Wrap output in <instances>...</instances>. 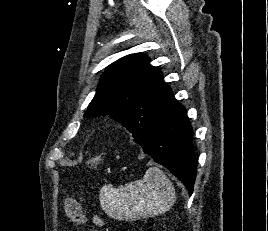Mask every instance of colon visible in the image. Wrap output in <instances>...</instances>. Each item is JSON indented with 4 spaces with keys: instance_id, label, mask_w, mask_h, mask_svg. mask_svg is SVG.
Returning <instances> with one entry per match:
<instances>
[{
    "instance_id": "obj_1",
    "label": "colon",
    "mask_w": 268,
    "mask_h": 231,
    "mask_svg": "<svg viewBox=\"0 0 268 231\" xmlns=\"http://www.w3.org/2000/svg\"><path fill=\"white\" fill-rule=\"evenodd\" d=\"M64 211L73 227H77L84 223L82 207L76 199L71 197L65 198Z\"/></svg>"
}]
</instances>
